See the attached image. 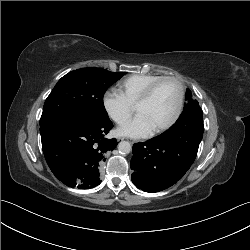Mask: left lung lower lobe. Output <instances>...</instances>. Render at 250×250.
Segmentation results:
<instances>
[{"mask_svg": "<svg viewBox=\"0 0 250 250\" xmlns=\"http://www.w3.org/2000/svg\"><path fill=\"white\" fill-rule=\"evenodd\" d=\"M202 137L203 113H186L161 135L134 144L132 182L145 192L169 188L194 162Z\"/></svg>", "mask_w": 250, "mask_h": 250, "instance_id": "left-lung-lower-lobe-1", "label": "left lung lower lobe"}]
</instances>
